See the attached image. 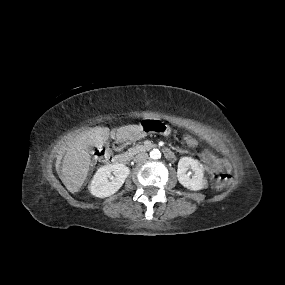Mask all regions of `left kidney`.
Instances as JSON below:
<instances>
[{"label":"left kidney","mask_w":285,"mask_h":285,"mask_svg":"<svg viewBox=\"0 0 285 285\" xmlns=\"http://www.w3.org/2000/svg\"><path fill=\"white\" fill-rule=\"evenodd\" d=\"M189 169L193 171L192 176L187 173ZM177 178L181 185L193 191H198L205 187L203 166L190 157H183L179 160Z\"/></svg>","instance_id":"1"}]
</instances>
